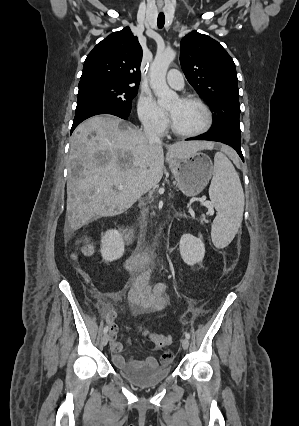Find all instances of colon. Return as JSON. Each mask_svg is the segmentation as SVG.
Masks as SVG:
<instances>
[{"label":"colon","mask_w":299,"mask_h":426,"mask_svg":"<svg viewBox=\"0 0 299 426\" xmlns=\"http://www.w3.org/2000/svg\"><path fill=\"white\" fill-rule=\"evenodd\" d=\"M82 250L85 253H88L92 250V245L89 243L84 244L82 247ZM140 331L142 334L148 338L157 348H163L166 346H169L171 344V337L168 335L163 334H157L150 332L149 330H146L144 328H140Z\"/></svg>","instance_id":"1"}]
</instances>
